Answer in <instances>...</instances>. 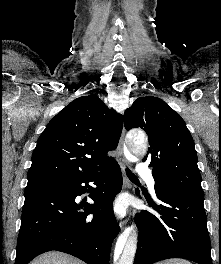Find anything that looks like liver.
<instances>
[{
	"label": "liver",
	"instance_id": "1",
	"mask_svg": "<svg viewBox=\"0 0 221 264\" xmlns=\"http://www.w3.org/2000/svg\"><path fill=\"white\" fill-rule=\"evenodd\" d=\"M30 264H85L84 262L64 253L47 252L36 257Z\"/></svg>",
	"mask_w": 221,
	"mask_h": 264
}]
</instances>
